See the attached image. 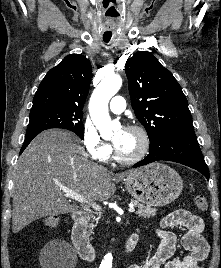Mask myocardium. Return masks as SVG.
<instances>
[{"label":"myocardium","instance_id":"1","mask_svg":"<svg viewBox=\"0 0 221 268\" xmlns=\"http://www.w3.org/2000/svg\"><path fill=\"white\" fill-rule=\"evenodd\" d=\"M125 130L136 131L137 133L140 134V136L142 138V147H141L139 153L133 157H129V158L124 157L119 153V151L117 150L116 147L114 148V154H115L116 160L121 164L131 165V164L138 163L142 159L145 158V156L149 152L151 140H150V136H149L147 130L140 125H137V124L128 125L125 127Z\"/></svg>","mask_w":221,"mask_h":268}]
</instances>
